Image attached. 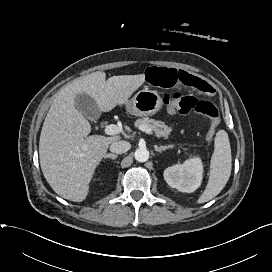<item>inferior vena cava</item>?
Returning a JSON list of instances; mask_svg holds the SVG:
<instances>
[{
    "instance_id": "inferior-vena-cava-1",
    "label": "inferior vena cava",
    "mask_w": 272,
    "mask_h": 272,
    "mask_svg": "<svg viewBox=\"0 0 272 272\" xmlns=\"http://www.w3.org/2000/svg\"><path fill=\"white\" fill-rule=\"evenodd\" d=\"M131 148V144L127 141H115L110 145V151L115 154H123Z\"/></svg>"
}]
</instances>
